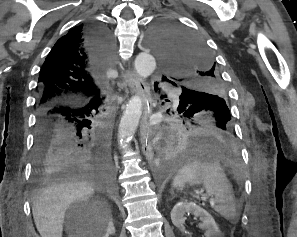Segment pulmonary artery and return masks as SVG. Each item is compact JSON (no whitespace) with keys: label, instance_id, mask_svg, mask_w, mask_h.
I'll list each match as a JSON object with an SVG mask.
<instances>
[{"label":"pulmonary artery","instance_id":"pulmonary-artery-1","mask_svg":"<svg viewBox=\"0 0 297 237\" xmlns=\"http://www.w3.org/2000/svg\"><path fill=\"white\" fill-rule=\"evenodd\" d=\"M163 88L164 89H169L170 87H169V85L165 84V85H163Z\"/></svg>","mask_w":297,"mask_h":237}]
</instances>
